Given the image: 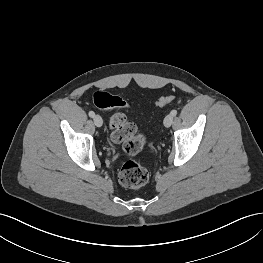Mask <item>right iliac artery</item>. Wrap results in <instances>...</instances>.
I'll return each instance as SVG.
<instances>
[{
	"mask_svg": "<svg viewBox=\"0 0 263 263\" xmlns=\"http://www.w3.org/2000/svg\"><path fill=\"white\" fill-rule=\"evenodd\" d=\"M89 116L93 118L95 116V113L93 111H90Z\"/></svg>",
	"mask_w": 263,
	"mask_h": 263,
	"instance_id": "1",
	"label": "right iliac artery"
}]
</instances>
